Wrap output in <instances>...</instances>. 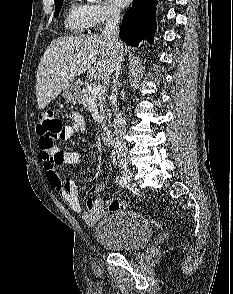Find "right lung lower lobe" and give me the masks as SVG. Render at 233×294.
Wrapping results in <instances>:
<instances>
[{
	"mask_svg": "<svg viewBox=\"0 0 233 294\" xmlns=\"http://www.w3.org/2000/svg\"><path fill=\"white\" fill-rule=\"evenodd\" d=\"M156 0H133L120 27V39L132 47L146 38L150 44L156 31Z\"/></svg>",
	"mask_w": 233,
	"mask_h": 294,
	"instance_id": "obj_1",
	"label": "right lung lower lobe"
}]
</instances>
